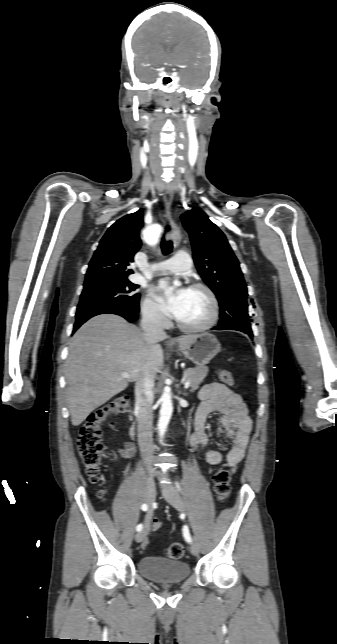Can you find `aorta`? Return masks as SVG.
Wrapping results in <instances>:
<instances>
[{
	"mask_svg": "<svg viewBox=\"0 0 337 644\" xmlns=\"http://www.w3.org/2000/svg\"><path fill=\"white\" fill-rule=\"evenodd\" d=\"M159 236H160V229L158 228L151 229L146 233L145 240L149 245L155 246L158 243ZM180 284L181 282L179 280L174 281L175 286H179ZM160 400H161V409H160V416L158 420V432H159V436L162 438L166 432L167 426L169 424V421L171 419L172 412H173L171 393L168 388H165Z\"/></svg>",
	"mask_w": 337,
	"mask_h": 644,
	"instance_id": "obj_1",
	"label": "aorta"
}]
</instances>
